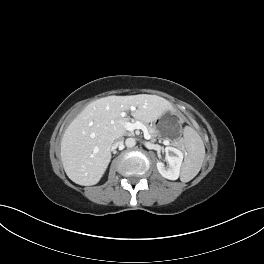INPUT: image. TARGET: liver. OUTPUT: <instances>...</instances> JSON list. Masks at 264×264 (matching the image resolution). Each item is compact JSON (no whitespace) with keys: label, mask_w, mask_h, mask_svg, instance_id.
<instances>
[{"label":"liver","mask_w":264,"mask_h":264,"mask_svg":"<svg viewBox=\"0 0 264 264\" xmlns=\"http://www.w3.org/2000/svg\"><path fill=\"white\" fill-rule=\"evenodd\" d=\"M135 108L143 122L159 119L172 106L156 95L108 96L89 104L68 126L61 141V161L76 184H97L111 160V146L126 133L121 113Z\"/></svg>","instance_id":"6515ba94"}]
</instances>
